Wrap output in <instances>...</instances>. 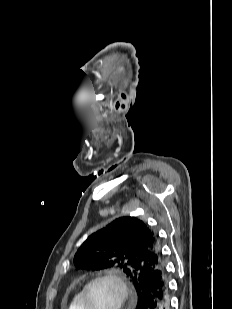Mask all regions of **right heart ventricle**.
I'll list each match as a JSON object with an SVG mask.
<instances>
[{"mask_svg": "<svg viewBox=\"0 0 232 309\" xmlns=\"http://www.w3.org/2000/svg\"><path fill=\"white\" fill-rule=\"evenodd\" d=\"M82 291L79 290L72 298L68 309H83L82 307Z\"/></svg>", "mask_w": 232, "mask_h": 309, "instance_id": "obj_1", "label": "right heart ventricle"}]
</instances>
